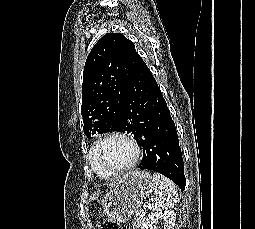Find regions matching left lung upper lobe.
Returning a JSON list of instances; mask_svg holds the SVG:
<instances>
[{
    "mask_svg": "<svg viewBox=\"0 0 255 229\" xmlns=\"http://www.w3.org/2000/svg\"><path fill=\"white\" fill-rule=\"evenodd\" d=\"M140 60L134 44L121 33H107L94 45L85 63L82 87L81 115L88 138L127 131L120 114Z\"/></svg>",
    "mask_w": 255,
    "mask_h": 229,
    "instance_id": "obj_1",
    "label": "left lung upper lobe"
}]
</instances>
